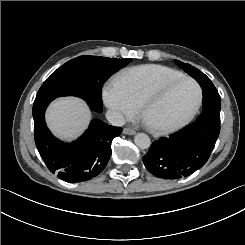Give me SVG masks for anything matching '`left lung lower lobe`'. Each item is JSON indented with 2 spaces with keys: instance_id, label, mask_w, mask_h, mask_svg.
I'll use <instances>...</instances> for the list:
<instances>
[{
  "instance_id": "1",
  "label": "left lung lower lobe",
  "mask_w": 245,
  "mask_h": 245,
  "mask_svg": "<svg viewBox=\"0 0 245 245\" xmlns=\"http://www.w3.org/2000/svg\"><path fill=\"white\" fill-rule=\"evenodd\" d=\"M203 89V112L180 131L153 142L142 158L147 170L162 179H181L208 160L220 132L221 99L208 77L198 81Z\"/></svg>"
}]
</instances>
